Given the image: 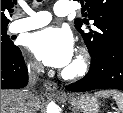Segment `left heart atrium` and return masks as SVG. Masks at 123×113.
Segmentation results:
<instances>
[{"label":"left heart atrium","mask_w":123,"mask_h":113,"mask_svg":"<svg viewBox=\"0 0 123 113\" xmlns=\"http://www.w3.org/2000/svg\"><path fill=\"white\" fill-rule=\"evenodd\" d=\"M27 45L35 57L47 66L64 68L74 54V40L70 31L49 27L29 36Z\"/></svg>","instance_id":"left-heart-atrium-1"}]
</instances>
